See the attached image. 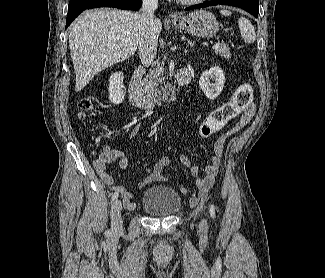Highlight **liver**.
<instances>
[{"instance_id":"1","label":"liver","mask_w":325,"mask_h":278,"mask_svg":"<svg viewBox=\"0 0 325 278\" xmlns=\"http://www.w3.org/2000/svg\"><path fill=\"white\" fill-rule=\"evenodd\" d=\"M159 32L162 24L157 19ZM141 35L140 14L117 9H96L81 15L69 29V47L81 91L105 68L130 58Z\"/></svg>"}]
</instances>
